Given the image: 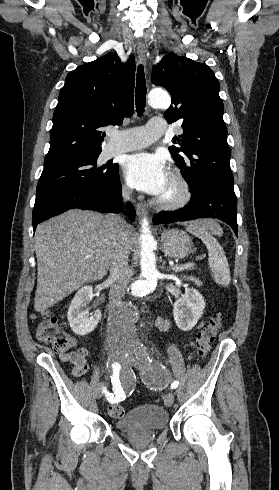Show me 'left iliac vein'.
I'll return each mask as SVG.
<instances>
[{"instance_id":"left-iliac-vein-1","label":"left iliac vein","mask_w":279,"mask_h":490,"mask_svg":"<svg viewBox=\"0 0 279 490\" xmlns=\"http://www.w3.org/2000/svg\"><path fill=\"white\" fill-rule=\"evenodd\" d=\"M135 359L138 361H142L144 359V356L142 354H138L135 356ZM145 363L147 362L146 360L144 361ZM149 366L151 365L150 363L148 364ZM154 365V364H153ZM174 403V394L173 393H168L165 396V405L167 407H171Z\"/></svg>"}]
</instances>
